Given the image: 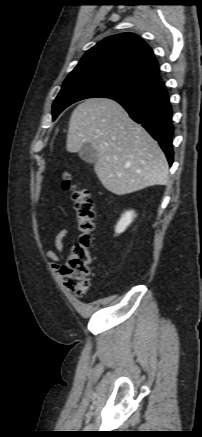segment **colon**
Returning <instances> with one entry per match:
<instances>
[{
    "instance_id": "colon-1",
    "label": "colon",
    "mask_w": 202,
    "mask_h": 437,
    "mask_svg": "<svg viewBox=\"0 0 202 437\" xmlns=\"http://www.w3.org/2000/svg\"><path fill=\"white\" fill-rule=\"evenodd\" d=\"M63 187L71 192L77 218L78 239L71 245L65 263L60 268L64 285L77 297L86 294L90 286L92 233L94 230V204L89 192L75 180L70 172L64 173Z\"/></svg>"
}]
</instances>
